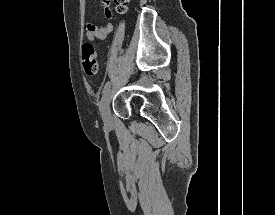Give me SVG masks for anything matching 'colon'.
I'll list each match as a JSON object with an SVG mask.
<instances>
[{
    "label": "colon",
    "mask_w": 275,
    "mask_h": 215,
    "mask_svg": "<svg viewBox=\"0 0 275 215\" xmlns=\"http://www.w3.org/2000/svg\"><path fill=\"white\" fill-rule=\"evenodd\" d=\"M129 0H115L117 11L123 13L127 8ZM81 61L84 73L87 76H94L98 71V53L95 46L89 42L82 46Z\"/></svg>",
    "instance_id": "5ec220e1"
}]
</instances>
